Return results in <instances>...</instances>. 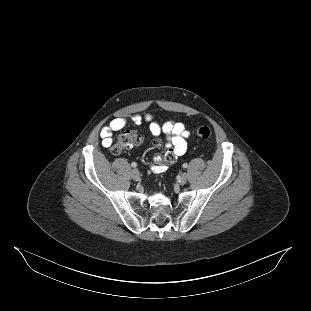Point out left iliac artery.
<instances>
[{
    "label": "left iliac artery",
    "instance_id": "1",
    "mask_svg": "<svg viewBox=\"0 0 311 311\" xmlns=\"http://www.w3.org/2000/svg\"><path fill=\"white\" fill-rule=\"evenodd\" d=\"M182 167H183V168H187V167H188V164H187V163H184V164L182 165Z\"/></svg>",
    "mask_w": 311,
    "mask_h": 311
}]
</instances>
